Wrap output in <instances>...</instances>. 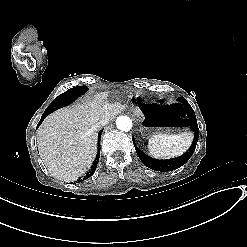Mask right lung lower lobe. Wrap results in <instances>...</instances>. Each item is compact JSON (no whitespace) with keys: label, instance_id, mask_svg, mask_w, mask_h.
I'll return each mask as SVG.
<instances>
[{"label":"right lung lower lobe","instance_id":"98d812e1","mask_svg":"<svg viewBox=\"0 0 247 247\" xmlns=\"http://www.w3.org/2000/svg\"><path fill=\"white\" fill-rule=\"evenodd\" d=\"M46 116H47V114H46V113H43V115H42V117H41V119H40V121H39V123H38V125H37V128L39 127V125L42 123V121L44 120V118H45ZM37 128H36V129H37ZM100 137H101V132H100V135H99V141H100ZM99 156H100V149H99V152H98V154H97L96 159H95L94 162H93V165H92V167H91V171H90L89 173L86 174V178H89V177L92 176L93 173L95 172L96 167H97V164H98V161H99Z\"/></svg>","mask_w":247,"mask_h":247}]
</instances>
